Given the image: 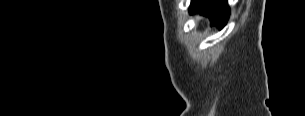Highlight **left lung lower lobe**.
Wrapping results in <instances>:
<instances>
[{"mask_svg": "<svg viewBox=\"0 0 305 116\" xmlns=\"http://www.w3.org/2000/svg\"><path fill=\"white\" fill-rule=\"evenodd\" d=\"M199 12L211 20V25L222 28L229 17L227 0H192L190 12Z\"/></svg>", "mask_w": 305, "mask_h": 116, "instance_id": "obj_1", "label": "left lung lower lobe"}]
</instances>
